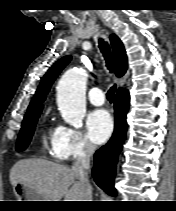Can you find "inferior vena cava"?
Wrapping results in <instances>:
<instances>
[{
  "label": "inferior vena cava",
  "instance_id": "inferior-vena-cava-1",
  "mask_svg": "<svg viewBox=\"0 0 176 211\" xmlns=\"http://www.w3.org/2000/svg\"><path fill=\"white\" fill-rule=\"evenodd\" d=\"M94 151L95 146L90 142H86L72 166V170L76 174L78 180L87 189H91L88 179V170L90 168V157L93 155ZM85 200L91 201V199Z\"/></svg>",
  "mask_w": 176,
  "mask_h": 211
}]
</instances>
